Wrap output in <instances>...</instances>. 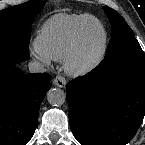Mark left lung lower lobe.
I'll list each match as a JSON object with an SVG mask.
<instances>
[{
    "label": "left lung lower lobe",
    "instance_id": "1",
    "mask_svg": "<svg viewBox=\"0 0 145 145\" xmlns=\"http://www.w3.org/2000/svg\"><path fill=\"white\" fill-rule=\"evenodd\" d=\"M70 127L81 145H125L145 115V65L92 72L68 83Z\"/></svg>",
    "mask_w": 145,
    "mask_h": 145
}]
</instances>
